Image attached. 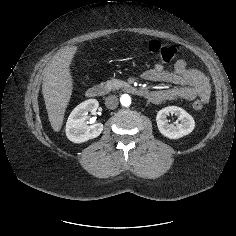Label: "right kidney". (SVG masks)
Here are the masks:
<instances>
[{
  "instance_id": "right-kidney-1",
  "label": "right kidney",
  "mask_w": 236,
  "mask_h": 236,
  "mask_svg": "<svg viewBox=\"0 0 236 236\" xmlns=\"http://www.w3.org/2000/svg\"><path fill=\"white\" fill-rule=\"evenodd\" d=\"M99 103L96 99H89L71 112L66 123V136L74 143H83L90 139L98 137L103 131L102 123L87 125L88 113H96Z\"/></svg>"
}]
</instances>
